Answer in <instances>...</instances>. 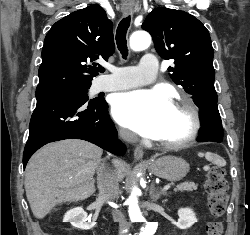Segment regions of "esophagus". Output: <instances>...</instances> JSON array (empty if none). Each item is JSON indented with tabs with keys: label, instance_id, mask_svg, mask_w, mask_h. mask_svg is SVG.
Returning <instances> with one entry per match:
<instances>
[{
	"label": "esophagus",
	"instance_id": "1",
	"mask_svg": "<svg viewBox=\"0 0 250 235\" xmlns=\"http://www.w3.org/2000/svg\"><path fill=\"white\" fill-rule=\"evenodd\" d=\"M131 9H132L131 5H124L123 6V12L125 14H128L131 11ZM143 155H144L143 149L141 147L137 146L134 149V158L136 160H141L143 158Z\"/></svg>",
	"mask_w": 250,
	"mask_h": 235
}]
</instances>
